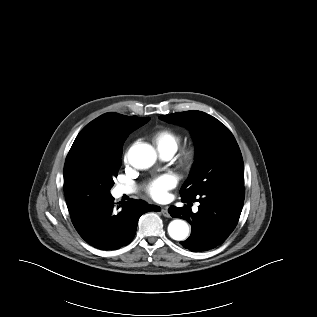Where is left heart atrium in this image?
Masks as SVG:
<instances>
[{"label": "left heart atrium", "mask_w": 317, "mask_h": 317, "mask_svg": "<svg viewBox=\"0 0 317 317\" xmlns=\"http://www.w3.org/2000/svg\"><path fill=\"white\" fill-rule=\"evenodd\" d=\"M176 179L171 174H164L151 180L146 187L147 193L157 201L166 199L168 191L175 187Z\"/></svg>", "instance_id": "1"}]
</instances>
